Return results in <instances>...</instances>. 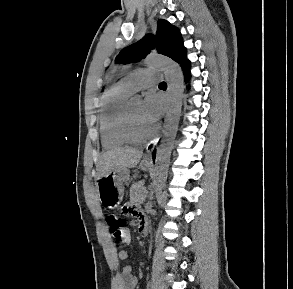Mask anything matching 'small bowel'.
<instances>
[{
	"mask_svg": "<svg viewBox=\"0 0 293 289\" xmlns=\"http://www.w3.org/2000/svg\"><path fill=\"white\" fill-rule=\"evenodd\" d=\"M137 217L139 220L143 218L142 213H138ZM131 239L129 230H126L125 236L122 240L123 244H128ZM118 258L122 261L129 258L128 251L123 247L118 252ZM138 283L137 277L133 274L132 267L130 265H124L121 268V272L117 278V289H135Z\"/></svg>",
	"mask_w": 293,
	"mask_h": 289,
	"instance_id": "1",
	"label": "small bowel"
}]
</instances>
